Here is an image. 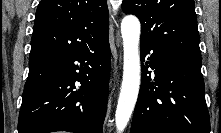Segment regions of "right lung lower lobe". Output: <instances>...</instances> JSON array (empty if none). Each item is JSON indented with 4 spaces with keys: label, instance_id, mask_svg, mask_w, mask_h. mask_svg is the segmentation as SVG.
Returning a JSON list of instances; mask_svg holds the SVG:
<instances>
[{
    "label": "right lung lower lobe",
    "instance_id": "98d812e1",
    "mask_svg": "<svg viewBox=\"0 0 221 133\" xmlns=\"http://www.w3.org/2000/svg\"><path fill=\"white\" fill-rule=\"evenodd\" d=\"M110 63L108 33L75 52L29 61L18 133H102Z\"/></svg>",
    "mask_w": 221,
    "mask_h": 133
}]
</instances>
